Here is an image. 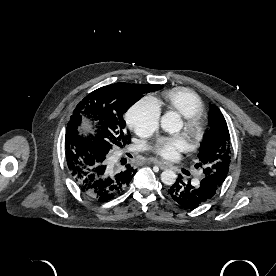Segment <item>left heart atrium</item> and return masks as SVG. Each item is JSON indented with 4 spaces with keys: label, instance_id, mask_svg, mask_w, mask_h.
Masks as SVG:
<instances>
[{
    "label": "left heart atrium",
    "instance_id": "1",
    "mask_svg": "<svg viewBox=\"0 0 276 276\" xmlns=\"http://www.w3.org/2000/svg\"><path fill=\"white\" fill-rule=\"evenodd\" d=\"M187 149V141L182 135L161 137L155 144V151L162 158L172 160Z\"/></svg>",
    "mask_w": 276,
    "mask_h": 276
}]
</instances>
